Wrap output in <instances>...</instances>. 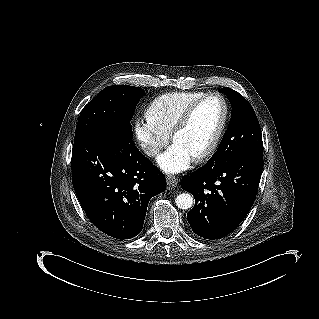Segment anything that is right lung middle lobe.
Wrapping results in <instances>:
<instances>
[{
	"label": "right lung middle lobe",
	"instance_id": "right-lung-middle-lobe-1",
	"mask_svg": "<svg viewBox=\"0 0 319 319\" xmlns=\"http://www.w3.org/2000/svg\"><path fill=\"white\" fill-rule=\"evenodd\" d=\"M143 90L134 86H108L81 111L74 144L103 136L133 143L130 121Z\"/></svg>",
	"mask_w": 319,
	"mask_h": 319
}]
</instances>
